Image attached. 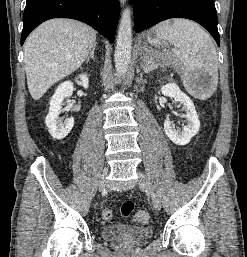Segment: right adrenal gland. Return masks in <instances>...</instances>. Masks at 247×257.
Masks as SVG:
<instances>
[{
	"instance_id": "obj_1",
	"label": "right adrenal gland",
	"mask_w": 247,
	"mask_h": 257,
	"mask_svg": "<svg viewBox=\"0 0 247 257\" xmlns=\"http://www.w3.org/2000/svg\"><path fill=\"white\" fill-rule=\"evenodd\" d=\"M96 47H97V43H95V44L93 45L92 51L90 52V55L87 57L85 63H88V62L90 61V59L95 60V50H96Z\"/></svg>"
}]
</instances>
